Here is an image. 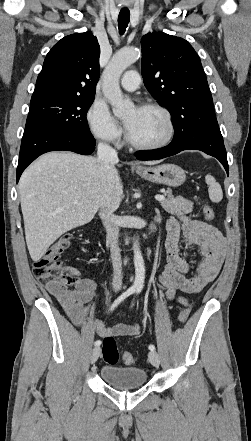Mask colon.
I'll list each match as a JSON object with an SVG mask.
<instances>
[{"label": "colon", "instance_id": "5ec220e1", "mask_svg": "<svg viewBox=\"0 0 251 441\" xmlns=\"http://www.w3.org/2000/svg\"><path fill=\"white\" fill-rule=\"evenodd\" d=\"M203 213L209 220H212L215 215L210 205L204 206ZM71 240V234L62 235L49 247L42 258L34 262L33 274L40 285L62 290L75 286L80 281L76 270L72 267L64 266L59 259L60 255L69 247ZM189 315L190 309H183L178 315L180 323H185ZM102 356L109 365L118 362L119 352L113 336H107L103 339ZM123 361L126 365H132L135 359L132 354L124 353Z\"/></svg>", "mask_w": 251, "mask_h": 441}]
</instances>
